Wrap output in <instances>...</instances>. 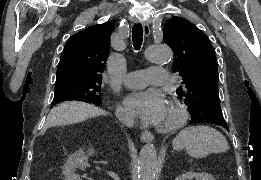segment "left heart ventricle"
<instances>
[{"instance_id": "1", "label": "left heart ventricle", "mask_w": 261, "mask_h": 180, "mask_svg": "<svg viewBox=\"0 0 261 180\" xmlns=\"http://www.w3.org/2000/svg\"><path fill=\"white\" fill-rule=\"evenodd\" d=\"M169 114H170V104L168 101H166V104H165L163 110L161 111L156 123H159V124L166 123L169 118Z\"/></svg>"}]
</instances>
